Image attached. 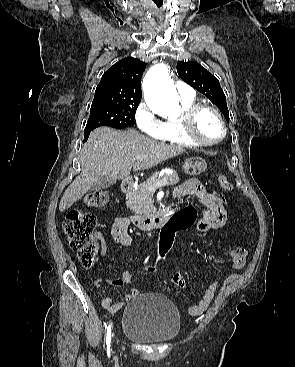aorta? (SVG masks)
Returning a JSON list of instances; mask_svg holds the SVG:
<instances>
[{
  "label": "aorta",
  "mask_w": 295,
  "mask_h": 367,
  "mask_svg": "<svg viewBox=\"0 0 295 367\" xmlns=\"http://www.w3.org/2000/svg\"><path fill=\"white\" fill-rule=\"evenodd\" d=\"M144 98L148 107L160 116L176 118L181 113L176 89L164 64L154 65L145 75Z\"/></svg>",
  "instance_id": "obj_1"
}]
</instances>
